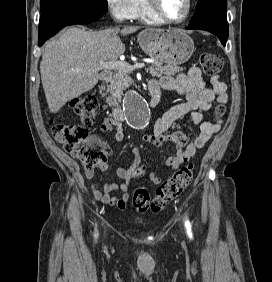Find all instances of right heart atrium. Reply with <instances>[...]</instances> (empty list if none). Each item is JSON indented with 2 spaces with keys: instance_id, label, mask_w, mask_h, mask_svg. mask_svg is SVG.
<instances>
[{
  "instance_id": "obj_1",
  "label": "right heart atrium",
  "mask_w": 272,
  "mask_h": 282,
  "mask_svg": "<svg viewBox=\"0 0 272 282\" xmlns=\"http://www.w3.org/2000/svg\"><path fill=\"white\" fill-rule=\"evenodd\" d=\"M140 0H106L108 11L117 21H124L136 16Z\"/></svg>"
}]
</instances>
